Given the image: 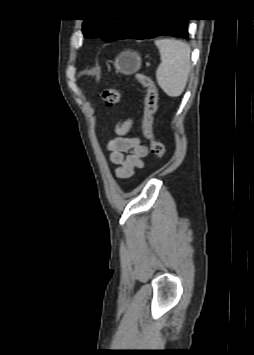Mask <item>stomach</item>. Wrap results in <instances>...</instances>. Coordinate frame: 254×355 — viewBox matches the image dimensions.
I'll use <instances>...</instances> for the list:
<instances>
[{
    "instance_id": "obj_1",
    "label": "stomach",
    "mask_w": 254,
    "mask_h": 355,
    "mask_svg": "<svg viewBox=\"0 0 254 355\" xmlns=\"http://www.w3.org/2000/svg\"><path fill=\"white\" fill-rule=\"evenodd\" d=\"M114 65L117 72L126 75L132 74L140 69L141 57L137 52L124 51L116 57Z\"/></svg>"
}]
</instances>
